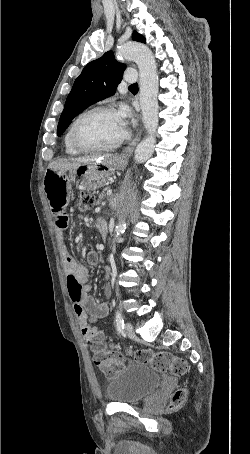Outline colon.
I'll return each instance as SVG.
<instances>
[{
    "label": "colon",
    "mask_w": 250,
    "mask_h": 454,
    "mask_svg": "<svg viewBox=\"0 0 250 454\" xmlns=\"http://www.w3.org/2000/svg\"><path fill=\"white\" fill-rule=\"evenodd\" d=\"M94 197L89 192L83 191L79 197V209L87 211L92 208ZM92 349L94 362L107 376H112L125 367V358L117 352H112L104 346L103 335L96 330L92 337ZM135 361L149 364L154 370L181 376L186 373V362L169 352H153L150 350H138L134 352ZM187 397L185 388H178L172 395V406L178 407L183 404Z\"/></svg>",
    "instance_id": "5ec220e1"
}]
</instances>
